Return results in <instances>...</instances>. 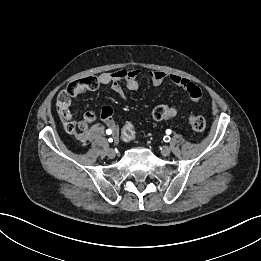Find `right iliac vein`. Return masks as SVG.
I'll use <instances>...</instances> for the list:
<instances>
[{
  "label": "right iliac vein",
  "mask_w": 261,
  "mask_h": 261,
  "mask_svg": "<svg viewBox=\"0 0 261 261\" xmlns=\"http://www.w3.org/2000/svg\"><path fill=\"white\" fill-rule=\"evenodd\" d=\"M115 155H116V152L114 151V149H109V150L107 151V156H108L109 158H114Z\"/></svg>",
  "instance_id": "63e3f726"
}]
</instances>
